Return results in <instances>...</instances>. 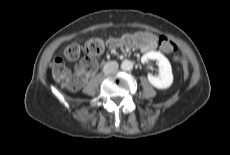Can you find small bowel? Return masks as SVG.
<instances>
[{"label":"small bowel","mask_w":230,"mask_h":155,"mask_svg":"<svg viewBox=\"0 0 230 155\" xmlns=\"http://www.w3.org/2000/svg\"><path fill=\"white\" fill-rule=\"evenodd\" d=\"M147 34L152 35L151 33H147ZM108 42H109L108 47L110 49H115L120 45V43H119V41L117 39H110ZM140 47L144 52H150V51H153V50L156 49L157 44H156L155 41H153V42H150L148 44L141 45Z\"/></svg>","instance_id":"c3829d8e"}]
</instances>
